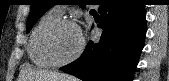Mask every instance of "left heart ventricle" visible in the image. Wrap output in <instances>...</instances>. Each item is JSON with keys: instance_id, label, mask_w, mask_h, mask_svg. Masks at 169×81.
<instances>
[{"instance_id": "left-heart-ventricle-1", "label": "left heart ventricle", "mask_w": 169, "mask_h": 81, "mask_svg": "<svg viewBox=\"0 0 169 81\" xmlns=\"http://www.w3.org/2000/svg\"><path fill=\"white\" fill-rule=\"evenodd\" d=\"M80 41L81 36L76 27L64 26L55 34L53 39L54 54L59 59H67L78 50Z\"/></svg>"}]
</instances>
